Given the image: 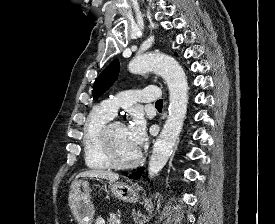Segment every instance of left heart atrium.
I'll use <instances>...</instances> for the list:
<instances>
[{
	"mask_svg": "<svg viewBox=\"0 0 275 224\" xmlns=\"http://www.w3.org/2000/svg\"><path fill=\"white\" fill-rule=\"evenodd\" d=\"M125 131L132 145L139 151L146 142L143 120L140 117H134L131 123L125 127Z\"/></svg>",
	"mask_w": 275,
	"mask_h": 224,
	"instance_id": "left-heart-atrium-1",
	"label": "left heart atrium"
}]
</instances>
